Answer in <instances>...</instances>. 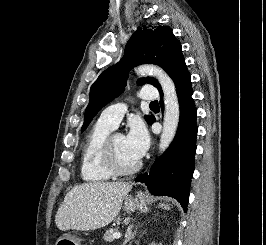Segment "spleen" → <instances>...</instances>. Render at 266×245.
<instances>
[{
    "label": "spleen",
    "instance_id": "obj_1",
    "mask_svg": "<svg viewBox=\"0 0 266 245\" xmlns=\"http://www.w3.org/2000/svg\"><path fill=\"white\" fill-rule=\"evenodd\" d=\"M159 207H160V209H161V207H163V209H165V211H169V209H170V205H168V203H167V205H162V203H159Z\"/></svg>",
    "mask_w": 266,
    "mask_h": 245
}]
</instances>
